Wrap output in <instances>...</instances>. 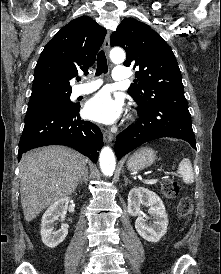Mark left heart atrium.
Wrapping results in <instances>:
<instances>
[{
  "instance_id": "left-heart-atrium-1",
  "label": "left heart atrium",
  "mask_w": 221,
  "mask_h": 274,
  "mask_svg": "<svg viewBox=\"0 0 221 274\" xmlns=\"http://www.w3.org/2000/svg\"><path fill=\"white\" fill-rule=\"evenodd\" d=\"M122 108L121 98L113 97L108 91H101L87 101L84 113L88 119L111 124L119 118Z\"/></svg>"
}]
</instances>
